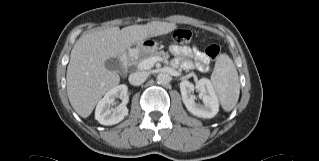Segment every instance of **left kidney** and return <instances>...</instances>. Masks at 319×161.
Listing matches in <instances>:
<instances>
[{"label":"left kidney","mask_w":319,"mask_h":161,"mask_svg":"<svg viewBox=\"0 0 319 161\" xmlns=\"http://www.w3.org/2000/svg\"><path fill=\"white\" fill-rule=\"evenodd\" d=\"M194 89L200 91L203 104L195 102ZM180 91L183 103L193 115L201 118H212L218 113L219 103L210 80L202 78L196 86L190 81L184 80L180 83Z\"/></svg>","instance_id":"5707ae66"}]
</instances>
